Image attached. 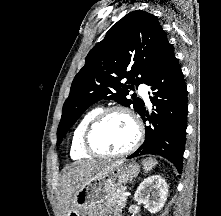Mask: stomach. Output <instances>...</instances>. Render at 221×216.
<instances>
[{"instance_id": "0dacf381", "label": "stomach", "mask_w": 221, "mask_h": 216, "mask_svg": "<svg viewBox=\"0 0 221 216\" xmlns=\"http://www.w3.org/2000/svg\"><path fill=\"white\" fill-rule=\"evenodd\" d=\"M138 173L139 166L135 163H127L125 160L108 164L78 189L66 216L90 214L96 206L107 203L118 188L132 181Z\"/></svg>"}]
</instances>
